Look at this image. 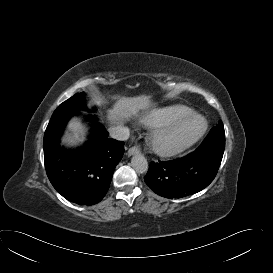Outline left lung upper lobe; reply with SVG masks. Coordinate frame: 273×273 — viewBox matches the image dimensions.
<instances>
[{"label":"left lung upper lobe","mask_w":273,"mask_h":273,"mask_svg":"<svg viewBox=\"0 0 273 273\" xmlns=\"http://www.w3.org/2000/svg\"><path fill=\"white\" fill-rule=\"evenodd\" d=\"M222 159L225 149V132L222 121L213 127L201 145L197 148Z\"/></svg>","instance_id":"left-lung-upper-lobe-1"}]
</instances>
